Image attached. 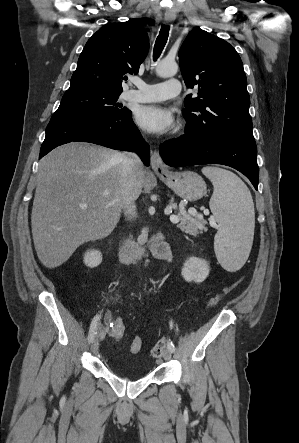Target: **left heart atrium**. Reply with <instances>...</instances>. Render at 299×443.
Segmentation results:
<instances>
[{
    "label": "left heart atrium",
    "mask_w": 299,
    "mask_h": 443,
    "mask_svg": "<svg viewBox=\"0 0 299 443\" xmlns=\"http://www.w3.org/2000/svg\"><path fill=\"white\" fill-rule=\"evenodd\" d=\"M136 122L148 132L164 134L175 127L171 110L160 105L142 106L136 113Z\"/></svg>",
    "instance_id": "obj_1"
}]
</instances>
